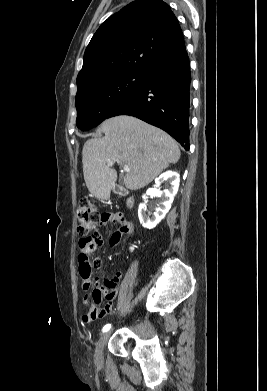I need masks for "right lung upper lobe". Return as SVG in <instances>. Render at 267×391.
<instances>
[{
  "instance_id": "1",
  "label": "right lung upper lobe",
  "mask_w": 267,
  "mask_h": 391,
  "mask_svg": "<svg viewBox=\"0 0 267 391\" xmlns=\"http://www.w3.org/2000/svg\"><path fill=\"white\" fill-rule=\"evenodd\" d=\"M185 50L182 30L162 0H137L109 17L92 37L77 76L78 90L109 73L146 72Z\"/></svg>"
}]
</instances>
